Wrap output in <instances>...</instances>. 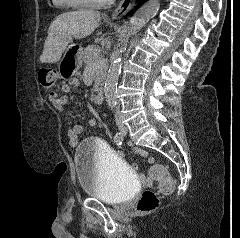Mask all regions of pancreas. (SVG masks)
<instances>
[{
	"instance_id": "1",
	"label": "pancreas",
	"mask_w": 240,
	"mask_h": 238,
	"mask_svg": "<svg viewBox=\"0 0 240 238\" xmlns=\"http://www.w3.org/2000/svg\"><path fill=\"white\" fill-rule=\"evenodd\" d=\"M96 55L99 56L100 62L96 61ZM83 60L86 64V68L92 67L94 69L93 79L95 84L93 86V91H98L106 75V60L100 54V49L96 45H89L84 49Z\"/></svg>"
}]
</instances>
